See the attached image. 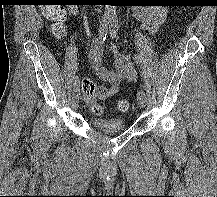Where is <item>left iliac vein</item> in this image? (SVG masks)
Masks as SVG:
<instances>
[{"mask_svg": "<svg viewBox=\"0 0 217 197\" xmlns=\"http://www.w3.org/2000/svg\"><path fill=\"white\" fill-rule=\"evenodd\" d=\"M146 100H147V97H146L145 91L143 89H140L137 92V102L141 108L145 107Z\"/></svg>", "mask_w": 217, "mask_h": 197, "instance_id": "left-iliac-vein-1", "label": "left iliac vein"}]
</instances>
